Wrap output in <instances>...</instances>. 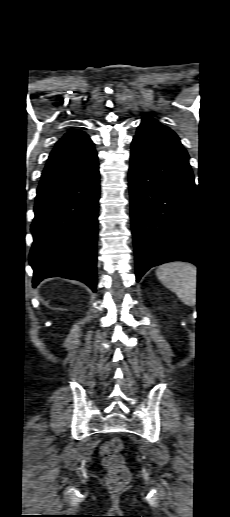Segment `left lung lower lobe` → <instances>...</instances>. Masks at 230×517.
<instances>
[{"mask_svg": "<svg viewBox=\"0 0 230 517\" xmlns=\"http://www.w3.org/2000/svg\"><path fill=\"white\" fill-rule=\"evenodd\" d=\"M129 189L136 281L151 267L196 252V190L189 162L132 143Z\"/></svg>", "mask_w": 230, "mask_h": 517, "instance_id": "left-lung-lower-lobe-1", "label": "left lung lower lobe"}]
</instances>
